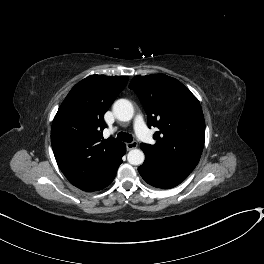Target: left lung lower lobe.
<instances>
[{"label":"left lung lower lobe","instance_id":"obj_1","mask_svg":"<svg viewBox=\"0 0 264 264\" xmlns=\"http://www.w3.org/2000/svg\"><path fill=\"white\" fill-rule=\"evenodd\" d=\"M145 162L138 168L142 178L151 186L169 189L184 181L191 172L165 166L158 163L148 155H145Z\"/></svg>","mask_w":264,"mask_h":264}]
</instances>
